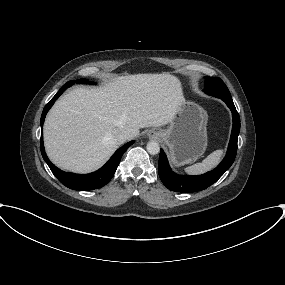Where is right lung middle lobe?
Wrapping results in <instances>:
<instances>
[{
    "label": "right lung middle lobe",
    "instance_id": "dd1d6c3e",
    "mask_svg": "<svg viewBox=\"0 0 285 285\" xmlns=\"http://www.w3.org/2000/svg\"><path fill=\"white\" fill-rule=\"evenodd\" d=\"M75 82H76V83H87L88 80H87V79H80V80H76V81H69L68 84H69V86H71V85L74 84Z\"/></svg>",
    "mask_w": 285,
    "mask_h": 285
}]
</instances>
